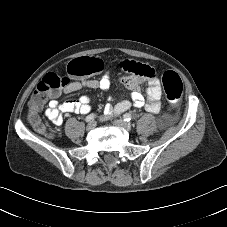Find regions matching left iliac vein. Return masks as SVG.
Wrapping results in <instances>:
<instances>
[{
    "mask_svg": "<svg viewBox=\"0 0 227 227\" xmlns=\"http://www.w3.org/2000/svg\"><path fill=\"white\" fill-rule=\"evenodd\" d=\"M113 124L116 126V127H120V128H123L127 131H130L132 129V125L128 122H125L124 120H121V119H118V120H114L113 121Z\"/></svg>",
    "mask_w": 227,
    "mask_h": 227,
    "instance_id": "4c4485c4",
    "label": "left iliac vein"
}]
</instances>
